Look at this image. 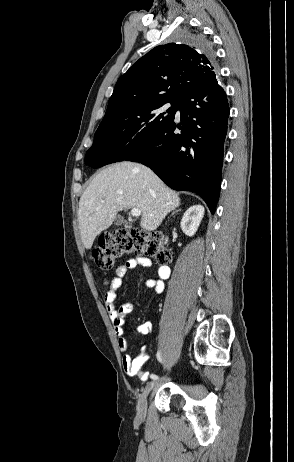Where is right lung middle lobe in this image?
<instances>
[{"label":"right lung middle lobe","instance_id":"dd1d6c3e","mask_svg":"<svg viewBox=\"0 0 294 462\" xmlns=\"http://www.w3.org/2000/svg\"><path fill=\"white\" fill-rule=\"evenodd\" d=\"M175 37L191 46L212 50L211 43L200 32L182 29ZM180 101V96H162L104 116L85 159L102 154L105 165L123 161L133 150L174 119Z\"/></svg>","mask_w":294,"mask_h":462}]
</instances>
